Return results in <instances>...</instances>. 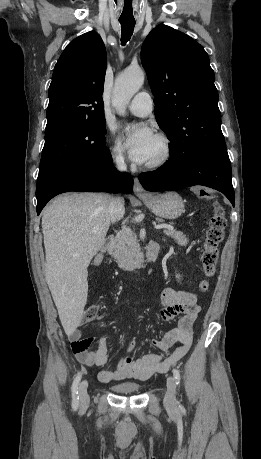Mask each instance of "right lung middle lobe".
Returning a JSON list of instances; mask_svg holds the SVG:
<instances>
[{"instance_id":"right-lung-middle-lobe-1","label":"right lung middle lobe","mask_w":261,"mask_h":459,"mask_svg":"<svg viewBox=\"0 0 261 459\" xmlns=\"http://www.w3.org/2000/svg\"><path fill=\"white\" fill-rule=\"evenodd\" d=\"M105 119L45 131L36 188L58 173L83 165H109Z\"/></svg>"}]
</instances>
